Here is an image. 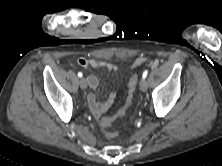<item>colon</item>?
Listing matches in <instances>:
<instances>
[{
	"label": "colon",
	"mask_w": 222,
	"mask_h": 166,
	"mask_svg": "<svg viewBox=\"0 0 222 166\" xmlns=\"http://www.w3.org/2000/svg\"><path fill=\"white\" fill-rule=\"evenodd\" d=\"M137 82L138 76L136 74L132 75L128 81V96L126 103L121 108H119L114 115L101 119L100 126L108 138L116 137L117 132L112 130V125L117 119L123 117L131 106L133 96L137 87Z\"/></svg>",
	"instance_id": "5ec220e1"
}]
</instances>
